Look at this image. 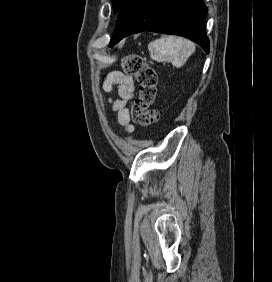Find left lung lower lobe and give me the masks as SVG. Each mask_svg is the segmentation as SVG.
<instances>
[{
    "label": "left lung lower lobe",
    "mask_w": 272,
    "mask_h": 282,
    "mask_svg": "<svg viewBox=\"0 0 272 282\" xmlns=\"http://www.w3.org/2000/svg\"><path fill=\"white\" fill-rule=\"evenodd\" d=\"M206 14L203 0H125L109 46L130 34L152 31L189 38L208 53Z\"/></svg>",
    "instance_id": "0a47b994"
}]
</instances>
